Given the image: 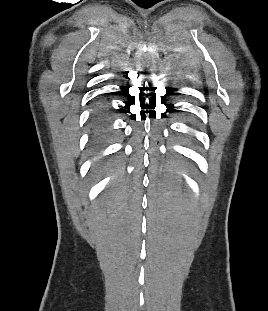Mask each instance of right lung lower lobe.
<instances>
[{"mask_svg":"<svg viewBox=\"0 0 268 311\" xmlns=\"http://www.w3.org/2000/svg\"><path fill=\"white\" fill-rule=\"evenodd\" d=\"M90 124L96 137L106 135L110 129V110L105 106L97 107L93 112Z\"/></svg>","mask_w":268,"mask_h":311,"instance_id":"right-lung-lower-lobe-1","label":"right lung lower lobe"}]
</instances>
